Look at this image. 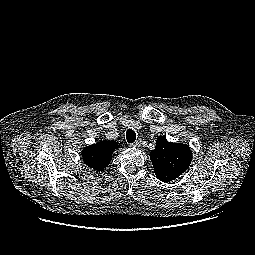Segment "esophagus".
Segmentation results:
<instances>
[{
    "label": "esophagus",
    "instance_id": "1",
    "mask_svg": "<svg viewBox=\"0 0 255 255\" xmlns=\"http://www.w3.org/2000/svg\"><path fill=\"white\" fill-rule=\"evenodd\" d=\"M130 146H131V147L138 148V147H140V141H136V142L130 144Z\"/></svg>",
    "mask_w": 255,
    "mask_h": 255
}]
</instances>
